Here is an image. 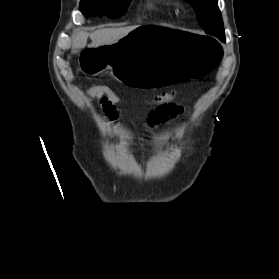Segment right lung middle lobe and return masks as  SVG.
<instances>
[{"label":"right lung middle lobe","mask_w":279,"mask_h":279,"mask_svg":"<svg viewBox=\"0 0 279 279\" xmlns=\"http://www.w3.org/2000/svg\"><path fill=\"white\" fill-rule=\"evenodd\" d=\"M131 0H81L80 9L84 15L121 17Z\"/></svg>","instance_id":"dd1d6c3e"}]
</instances>
